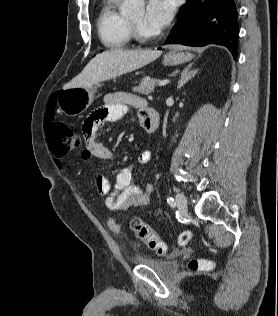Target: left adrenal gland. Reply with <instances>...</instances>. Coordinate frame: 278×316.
I'll return each mask as SVG.
<instances>
[{
    "mask_svg": "<svg viewBox=\"0 0 278 316\" xmlns=\"http://www.w3.org/2000/svg\"><path fill=\"white\" fill-rule=\"evenodd\" d=\"M193 63L189 64L181 73L180 80L178 82L177 88L180 89L184 84H186L190 79H192L198 70H191Z\"/></svg>",
    "mask_w": 278,
    "mask_h": 316,
    "instance_id": "left-adrenal-gland-1",
    "label": "left adrenal gland"
}]
</instances>
